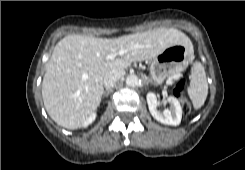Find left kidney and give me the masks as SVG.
I'll return each instance as SVG.
<instances>
[{
  "mask_svg": "<svg viewBox=\"0 0 245 170\" xmlns=\"http://www.w3.org/2000/svg\"><path fill=\"white\" fill-rule=\"evenodd\" d=\"M146 98L149 111L157 121L172 126H177L181 123L182 108L178 99L172 96L168 97L167 102L170 104V109H165L161 112L157 109L158 100L155 93H147Z\"/></svg>",
  "mask_w": 245,
  "mask_h": 170,
  "instance_id": "left-kidney-1",
  "label": "left kidney"
}]
</instances>
